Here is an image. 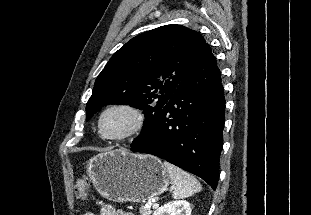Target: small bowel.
Segmentation results:
<instances>
[{
    "label": "small bowel",
    "instance_id": "c3829d8e",
    "mask_svg": "<svg viewBox=\"0 0 311 215\" xmlns=\"http://www.w3.org/2000/svg\"><path fill=\"white\" fill-rule=\"evenodd\" d=\"M83 215H95L92 212H86ZM100 215H134L131 212H126L115 208L111 204H105L101 207Z\"/></svg>",
    "mask_w": 311,
    "mask_h": 215
}]
</instances>
